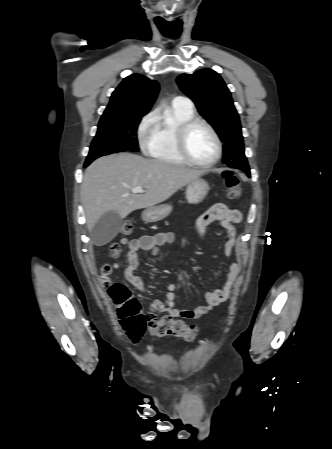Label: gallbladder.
<instances>
[{
    "mask_svg": "<svg viewBox=\"0 0 332 449\" xmlns=\"http://www.w3.org/2000/svg\"><path fill=\"white\" fill-rule=\"evenodd\" d=\"M122 218L117 212L104 213L93 226L90 237L97 246H102L115 238L120 230Z\"/></svg>",
    "mask_w": 332,
    "mask_h": 449,
    "instance_id": "bac80fb5",
    "label": "gallbladder"
}]
</instances>
